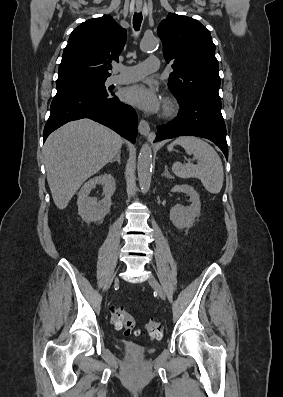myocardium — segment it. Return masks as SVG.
I'll return each instance as SVG.
<instances>
[{"label": "myocardium", "instance_id": "obj_1", "mask_svg": "<svg viewBox=\"0 0 283 397\" xmlns=\"http://www.w3.org/2000/svg\"><path fill=\"white\" fill-rule=\"evenodd\" d=\"M178 111V105L173 99H166L163 104V116L171 117Z\"/></svg>", "mask_w": 283, "mask_h": 397}]
</instances>
